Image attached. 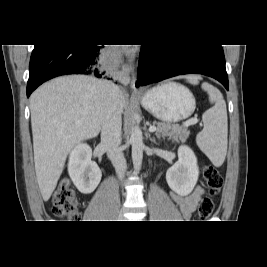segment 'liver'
I'll return each instance as SVG.
<instances>
[{"label":"liver","mask_w":267,"mask_h":267,"mask_svg":"<svg viewBox=\"0 0 267 267\" xmlns=\"http://www.w3.org/2000/svg\"><path fill=\"white\" fill-rule=\"evenodd\" d=\"M183 77L200 79L199 76ZM104 82L81 75L64 76L32 93L34 163L44 201H48L55 190L73 147L99 134L105 115ZM118 100L123 111L125 98L120 90Z\"/></svg>","instance_id":"obj_1"}]
</instances>
